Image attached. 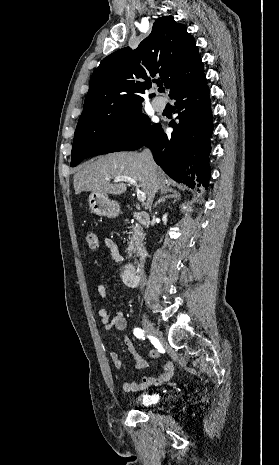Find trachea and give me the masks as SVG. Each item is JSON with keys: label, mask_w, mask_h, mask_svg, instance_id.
<instances>
[{"label": "trachea", "mask_w": 279, "mask_h": 465, "mask_svg": "<svg viewBox=\"0 0 279 465\" xmlns=\"http://www.w3.org/2000/svg\"><path fill=\"white\" fill-rule=\"evenodd\" d=\"M158 86H159V89H158L159 92H164L165 91V88L163 87L162 84H159Z\"/></svg>", "instance_id": "1"}]
</instances>
